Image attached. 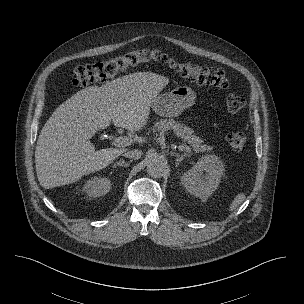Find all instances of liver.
Here are the masks:
<instances>
[{
    "mask_svg": "<svg viewBox=\"0 0 304 304\" xmlns=\"http://www.w3.org/2000/svg\"><path fill=\"white\" fill-rule=\"evenodd\" d=\"M168 83L159 74L137 72L82 89L62 103L37 140L35 164L40 185L45 189L63 186L108 166L125 149L95 150L90 139L111 122L130 131L141 130L153 100Z\"/></svg>",
    "mask_w": 304,
    "mask_h": 304,
    "instance_id": "6515ba94",
    "label": "liver"
}]
</instances>
